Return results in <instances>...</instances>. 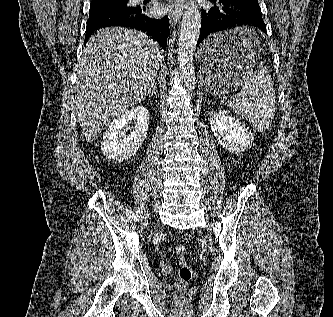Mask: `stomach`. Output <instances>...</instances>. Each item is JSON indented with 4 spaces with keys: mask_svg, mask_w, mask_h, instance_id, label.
Here are the masks:
<instances>
[{
    "mask_svg": "<svg viewBox=\"0 0 333 317\" xmlns=\"http://www.w3.org/2000/svg\"><path fill=\"white\" fill-rule=\"evenodd\" d=\"M256 29L249 24H234L233 29H217L206 33V41L200 49L203 65V81L199 88L213 95H225L251 81V74H262L266 62H259L260 45Z\"/></svg>",
    "mask_w": 333,
    "mask_h": 317,
    "instance_id": "obj_1",
    "label": "stomach"
}]
</instances>
